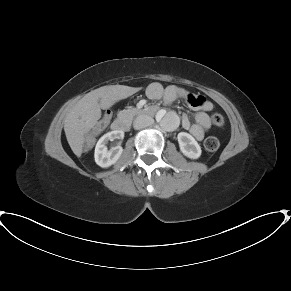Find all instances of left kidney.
<instances>
[{
    "label": "left kidney",
    "mask_w": 291,
    "mask_h": 291,
    "mask_svg": "<svg viewBox=\"0 0 291 291\" xmlns=\"http://www.w3.org/2000/svg\"><path fill=\"white\" fill-rule=\"evenodd\" d=\"M180 151L190 159H198L201 155V147L192 135L180 132L177 136Z\"/></svg>",
    "instance_id": "1"
}]
</instances>
